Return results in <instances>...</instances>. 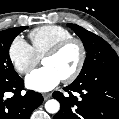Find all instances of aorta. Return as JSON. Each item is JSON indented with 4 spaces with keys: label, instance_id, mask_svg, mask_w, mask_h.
Returning <instances> with one entry per match:
<instances>
[{
    "label": "aorta",
    "instance_id": "obj_1",
    "mask_svg": "<svg viewBox=\"0 0 119 119\" xmlns=\"http://www.w3.org/2000/svg\"><path fill=\"white\" fill-rule=\"evenodd\" d=\"M45 109L48 113H57L60 109V104L57 100L51 99L46 102Z\"/></svg>",
    "mask_w": 119,
    "mask_h": 119
}]
</instances>
